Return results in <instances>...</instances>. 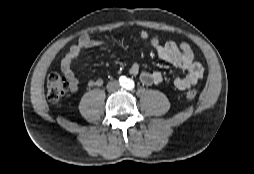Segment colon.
I'll list each match as a JSON object with an SVG mask.
<instances>
[{"label": "colon", "mask_w": 254, "mask_h": 174, "mask_svg": "<svg viewBox=\"0 0 254 174\" xmlns=\"http://www.w3.org/2000/svg\"><path fill=\"white\" fill-rule=\"evenodd\" d=\"M47 98L52 101L60 100L69 90L70 83L63 72L54 71L47 79ZM185 96L189 100H194L197 97V92L193 89L186 91Z\"/></svg>", "instance_id": "colon-1"}]
</instances>
